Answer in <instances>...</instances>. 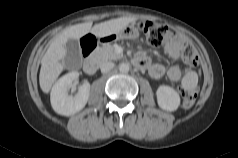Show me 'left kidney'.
Wrapping results in <instances>:
<instances>
[{"instance_id": "obj_1", "label": "left kidney", "mask_w": 238, "mask_h": 158, "mask_svg": "<svg viewBox=\"0 0 238 158\" xmlns=\"http://www.w3.org/2000/svg\"><path fill=\"white\" fill-rule=\"evenodd\" d=\"M159 107L166 111H176L180 105L179 94L170 86L161 85L156 91Z\"/></svg>"}]
</instances>
